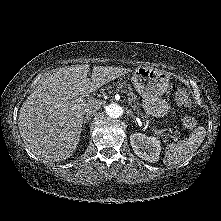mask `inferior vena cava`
<instances>
[{
    "instance_id": "obj_1",
    "label": "inferior vena cava",
    "mask_w": 221,
    "mask_h": 221,
    "mask_svg": "<svg viewBox=\"0 0 221 221\" xmlns=\"http://www.w3.org/2000/svg\"><path fill=\"white\" fill-rule=\"evenodd\" d=\"M101 108V103L99 101L90 104L86 109L85 113L87 116H90L92 114H95L99 109Z\"/></svg>"
}]
</instances>
